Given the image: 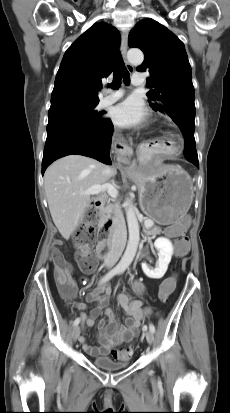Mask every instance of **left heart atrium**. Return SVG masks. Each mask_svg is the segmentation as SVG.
Listing matches in <instances>:
<instances>
[{
	"mask_svg": "<svg viewBox=\"0 0 230 413\" xmlns=\"http://www.w3.org/2000/svg\"><path fill=\"white\" fill-rule=\"evenodd\" d=\"M147 117L146 110L139 99L128 98L116 105L112 112L111 118L115 125L122 128H131L141 126Z\"/></svg>",
	"mask_w": 230,
	"mask_h": 413,
	"instance_id": "1",
	"label": "left heart atrium"
}]
</instances>
